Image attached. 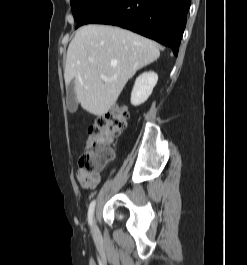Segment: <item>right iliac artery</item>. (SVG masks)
Instances as JSON below:
<instances>
[{
	"mask_svg": "<svg viewBox=\"0 0 247 265\" xmlns=\"http://www.w3.org/2000/svg\"><path fill=\"white\" fill-rule=\"evenodd\" d=\"M95 203H96L95 200H93L90 203V206L88 209V222L90 226H92V222H93V213H94Z\"/></svg>",
	"mask_w": 247,
	"mask_h": 265,
	"instance_id": "1",
	"label": "right iliac artery"
}]
</instances>
